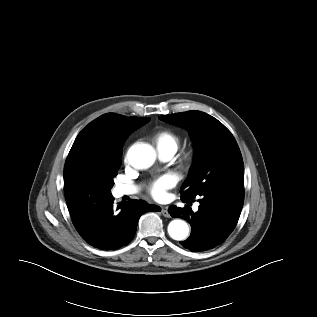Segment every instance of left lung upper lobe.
Segmentation results:
<instances>
[{
    "label": "left lung upper lobe",
    "mask_w": 317,
    "mask_h": 317,
    "mask_svg": "<svg viewBox=\"0 0 317 317\" xmlns=\"http://www.w3.org/2000/svg\"><path fill=\"white\" fill-rule=\"evenodd\" d=\"M186 128L194 143V162L181 187V198H195L215 187H244V164L231 132L217 119L201 111L159 117Z\"/></svg>",
    "instance_id": "left-lung-upper-lobe-1"
}]
</instances>
